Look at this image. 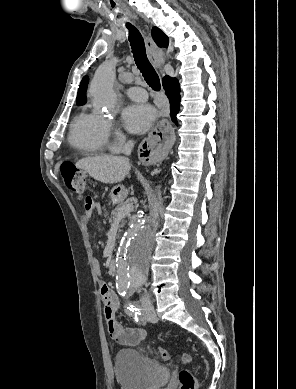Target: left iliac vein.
I'll return each instance as SVG.
<instances>
[{
  "label": "left iliac vein",
  "instance_id": "left-iliac-vein-1",
  "mask_svg": "<svg viewBox=\"0 0 296 389\" xmlns=\"http://www.w3.org/2000/svg\"><path fill=\"white\" fill-rule=\"evenodd\" d=\"M147 320L149 322L155 323L158 321L157 314L155 312V309L150 301H145L143 303V320Z\"/></svg>",
  "mask_w": 296,
  "mask_h": 389
}]
</instances>
